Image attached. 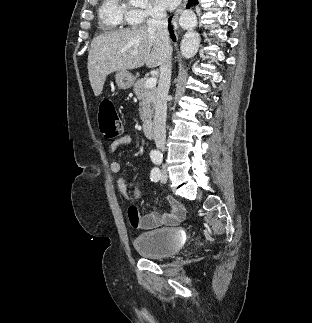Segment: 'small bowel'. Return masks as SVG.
<instances>
[{
	"label": "small bowel",
	"instance_id": "obj_1",
	"mask_svg": "<svg viewBox=\"0 0 312 323\" xmlns=\"http://www.w3.org/2000/svg\"><path fill=\"white\" fill-rule=\"evenodd\" d=\"M131 142L132 137L130 135H122L110 143L109 149L111 152H115L121 146L128 145ZM109 168L112 173H118L120 171V163L113 161L110 163ZM117 187L127 200L131 198L127 183L123 178L117 179ZM169 203L172 206V211L164 214L150 212L146 215H140L135 208H129L128 218L131 226L140 231H148L161 226L178 225L184 219V209L174 199H169Z\"/></svg>",
	"mask_w": 312,
	"mask_h": 323
}]
</instances>
